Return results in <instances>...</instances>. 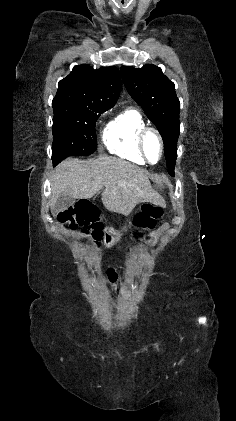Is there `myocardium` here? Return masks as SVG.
Returning a JSON list of instances; mask_svg holds the SVG:
<instances>
[{
	"label": "myocardium",
	"instance_id": "1",
	"mask_svg": "<svg viewBox=\"0 0 236 421\" xmlns=\"http://www.w3.org/2000/svg\"><path fill=\"white\" fill-rule=\"evenodd\" d=\"M150 134L155 135L160 142L161 157H160V160L158 161V162H160L163 159L164 153H165V141H164V138H163L162 134L157 129H155L153 127H144L138 134L137 143H138L139 151L142 154L145 162L150 164V165H155L158 162L157 163H151L148 159V155H147V151H146V138Z\"/></svg>",
	"mask_w": 236,
	"mask_h": 421
}]
</instances>
